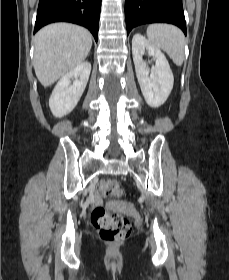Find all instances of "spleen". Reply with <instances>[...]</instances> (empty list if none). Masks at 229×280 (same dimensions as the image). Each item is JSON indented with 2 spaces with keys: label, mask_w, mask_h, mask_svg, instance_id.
I'll list each match as a JSON object with an SVG mask.
<instances>
[{
  "label": "spleen",
  "mask_w": 229,
  "mask_h": 280,
  "mask_svg": "<svg viewBox=\"0 0 229 280\" xmlns=\"http://www.w3.org/2000/svg\"><path fill=\"white\" fill-rule=\"evenodd\" d=\"M147 37L154 47L165 51L177 66L183 64L185 37L179 28L170 24H151L147 28Z\"/></svg>",
  "instance_id": "1"
}]
</instances>
